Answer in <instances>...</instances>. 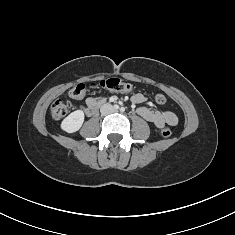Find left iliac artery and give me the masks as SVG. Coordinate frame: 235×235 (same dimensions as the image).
Segmentation results:
<instances>
[{"label": "left iliac artery", "mask_w": 235, "mask_h": 235, "mask_svg": "<svg viewBox=\"0 0 235 235\" xmlns=\"http://www.w3.org/2000/svg\"><path fill=\"white\" fill-rule=\"evenodd\" d=\"M120 111H121V112H124V111H125V108H124V107H121V108H120Z\"/></svg>", "instance_id": "1"}]
</instances>
